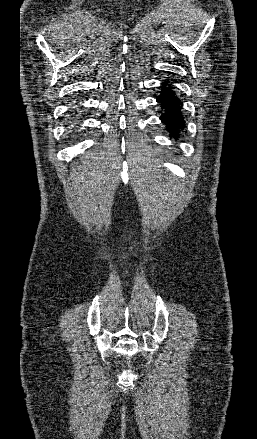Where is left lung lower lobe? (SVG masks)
Masks as SVG:
<instances>
[{
  "mask_svg": "<svg viewBox=\"0 0 257 439\" xmlns=\"http://www.w3.org/2000/svg\"><path fill=\"white\" fill-rule=\"evenodd\" d=\"M160 93L157 102L161 103V107L165 109V113L161 115L160 119L166 125L170 137H174L177 140L185 127L181 103L175 95L173 87L167 82L162 83Z\"/></svg>",
  "mask_w": 257,
  "mask_h": 439,
  "instance_id": "1",
  "label": "left lung lower lobe"
}]
</instances>
